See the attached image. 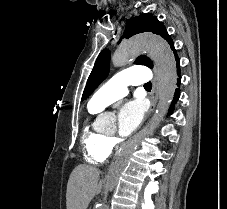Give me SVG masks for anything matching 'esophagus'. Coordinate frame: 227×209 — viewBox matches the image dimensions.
Segmentation results:
<instances>
[{
	"instance_id": "esophagus-1",
	"label": "esophagus",
	"mask_w": 227,
	"mask_h": 209,
	"mask_svg": "<svg viewBox=\"0 0 227 209\" xmlns=\"http://www.w3.org/2000/svg\"><path fill=\"white\" fill-rule=\"evenodd\" d=\"M153 87L151 92V105L149 106L148 112L152 113L153 110L156 109L157 101H158V95H159V75L156 67H153Z\"/></svg>"
}]
</instances>
